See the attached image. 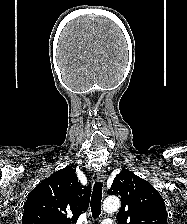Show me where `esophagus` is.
I'll list each match as a JSON object with an SVG mask.
<instances>
[{"label": "esophagus", "mask_w": 187, "mask_h": 224, "mask_svg": "<svg viewBox=\"0 0 187 224\" xmlns=\"http://www.w3.org/2000/svg\"><path fill=\"white\" fill-rule=\"evenodd\" d=\"M96 175H97V179L99 181L103 182L105 180L106 174H105V171L103 169L98 170Z\"/></svg>", "instance_id": "obj_1"}]
</instances>
